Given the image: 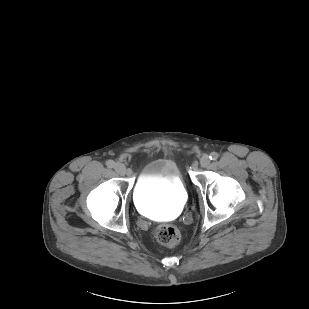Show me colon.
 I'll return each mask as SVG.
<instances>
[{"label": "colon", "mask_w": 309, "mask_h": 309, "mask_svg": "<svg viewBox=\"0 0 309 309\" xmlns=\"http://www.w3.org/2000/svg\"><path fill=\"white\" fill-rule=\"evenodd\" d=\"M155 238L162 245L174 247L180 242L181 233L174 225L163 224L156 229Z\"/></svg>", "instance_id": "1"}]
</instances>
